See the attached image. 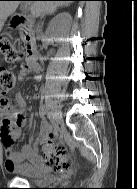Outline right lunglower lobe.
I'll return each mask as SVG.
<instances>
[{
    "label": "right lung lower lobe",
    "instance_id": "right-lung-lower-lobe-1",
    "mask_svg": "<svg viewBox=\"0 0 137 189\" xmlns=\"http://www.w3.org/2000/svg\"><path fill=\"white\" fill-rule=\"evenodd\" d=\"M71 1H79V0H71Z\"/></svg>",
    "mask_w": 137,
    "mask_h": 189
}]
</instances>
